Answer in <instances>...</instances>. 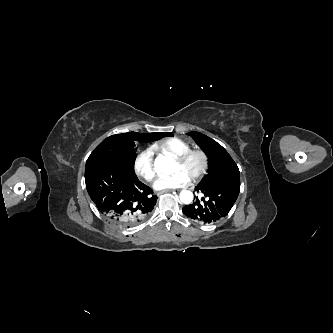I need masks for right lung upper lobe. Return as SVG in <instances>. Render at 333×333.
<instances>
[{
    "label": "right lung upper lobe",
    "mask_w": 333,
    "mask_h": 333,
    "mask_svg": "<svg viewBox=\"0 0 333 333\" xmlns=\"http://www.w3.org/2000/svg\"><path fill=\"white\" fill-rule=\"evenodd\" d=\"M129 134L132 135V136L138 137V138H140L142 140H144V139H154V140H157L156 139L157 133L139 134V133H136V132H129Z\"/></svg>",
    "instance_id": "obj_1"
}]
</instances>
